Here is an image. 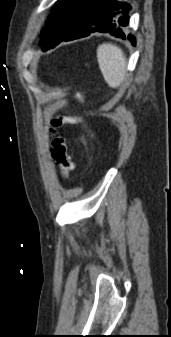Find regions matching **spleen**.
<instances>
[{
  "label": "spleen",
  "instance_id": "3e777b00",
  "mask_svg": "<svg viewBox=\"0 0 171 337\" xmlns=\"http://www.w3.org/2000/svg\"><path fill=\"white\" fill-rule=\"evenodd\" d=\"M99 68L106 83L117 88L126 76V57L120 47L112 43H103L97 48Z\"/></svg>",
  "mask_w": 171,
  "mask_h": 337
}]
</instances>
